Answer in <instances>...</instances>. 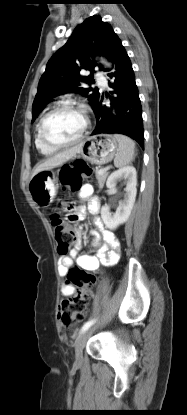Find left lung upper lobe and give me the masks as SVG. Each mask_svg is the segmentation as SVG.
Listing matches in <instances>:
<instances>
[{
	"label": "left lung upper lobe",
	"mask_w": 187,
	"mask_h": 415,
	"mask_svg": "<svg viewBox=\"0 0 187 415\" xmlns=\"http://www.w3.org/2000/svg\"><path fill=\"white\" fill-rule=\"evenodd\" d=\"M116 38L117 35L112 27L103 22L100 16H91L78 25L66 44L50 58L46 65L32 106V122L54 97L65 93H81L89 99L94 108L100 93L96 88H84L81 85L84 82L89 85L94 82L95 67L98 66L103 70V67L90 57L99 54L108 58ZM82 70H89L91 76H82L80 74Z\"/></svg>",
	"instance_id": "1"
}]
</instances>
